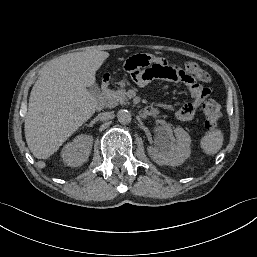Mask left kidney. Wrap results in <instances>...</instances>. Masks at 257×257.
Here are the masks:
<instances>
[{
    "instance_id": "left-kidney-1",
    "label": "left kidney",
    "mask_w": 257,
    "mask_h": 257,
    "mask_svg": "<svg viewBox=\"0 0 257 257\" xmlns=\"http://www.w3.org/2000/svg\"><path fill=\"white\" fill-rule=\"evenodd\" d=\"M176 143H171L166 132L156 137V147H148V154L159 165L178 166L190 157L191 138L182 128L174 129Z\"/></svg>"
}]
</instances>
